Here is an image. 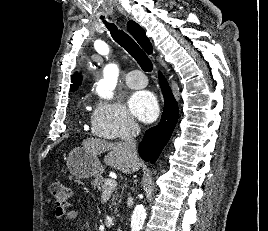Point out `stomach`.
Listing matches in <instances>:
<instances>
[{
  "mask_svg": "<svg viewBox=\"0 0 268 231\" xmlns=\"http://www.w3.org/2000/svg\"><path fill=\"white\" fill-rule=\"evenodd\" d=\"M66 165L77 179L100 176L103 169L98 157L83 146L75 147L69 152Z\"/></svg>",
  "mask_w": 268,
  "mask_h": 231,
  "instance_id": "obj_1",
  "label": "stomach"
}]
</instances>
